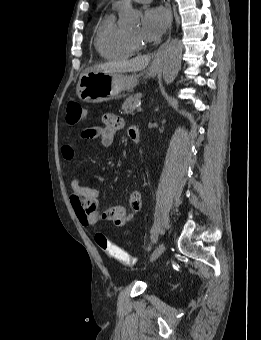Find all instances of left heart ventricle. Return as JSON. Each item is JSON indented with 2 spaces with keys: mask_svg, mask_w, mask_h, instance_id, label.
<instances>
[{
  "mask_svg": "<svg viewBox=\"0 0 261 340\" xmlns=\"http://www.w3.org/2000/svg\"><path fill=\"white\" fill-rule=\"evenodd\" d=\"M128 34L137 40H142L139 28L129 31Z\"/></svg>",
  "mask_w": 261,
  "mask_h": 340,
  "instance_id": "left-heart-ventricle-1",
  "label": "left heart ventricle"
}]
</instances>
